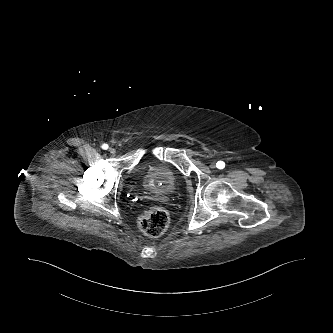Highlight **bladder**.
<instances>
[{
    "label": "bladder",
    "mask_w": 333,
    "mask_h": 333,
    "mask_svg": "<svg viewBox=\"0 0 333 333\" xmlns=\"http://www.w3.org/2000/svg\"><path fill=\"white\" fill-rule=\"evenodd\" d=\"M144 188L157 195L174 193L181 184L177 171L164 163H150L137 170Z\"/></svg>",
    "instance_id": "1"
}]
</instances>
